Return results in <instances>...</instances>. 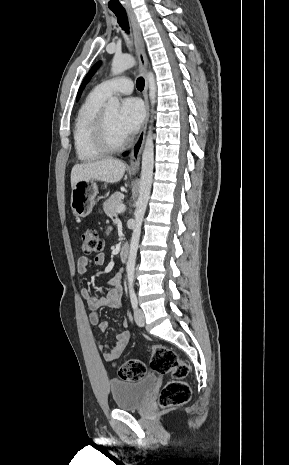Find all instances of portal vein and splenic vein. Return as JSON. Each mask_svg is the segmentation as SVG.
Returning a JSON list of instances; mask_svg holds the SVG:
<instances>
[{
    "instance_id": "obj_1",
    "label": "portal vein and splenic vein",
    "mask_w": 289,
    "mask_h": 465,
    "mask_svg": "<svg viewBox=\"0 0 289 465\" xmlns=\"http://www.w3.org/2000/svg\"><path fill=\"white\" fill-rule=\"evenodd\" d=\"M124 211H125V205H124V204L120 205V206L117 208V213H122V212H124Z\"/></svg>"
}]
</instances>
